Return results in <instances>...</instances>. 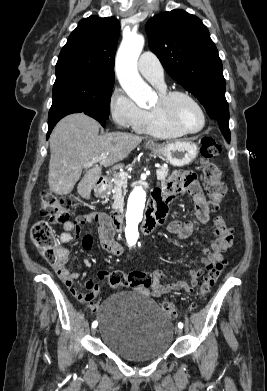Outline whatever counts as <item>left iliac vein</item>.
I'll return each mask as SVG.
<instances>
[{
  "label": "left iliac vein",
  "instance_id": "4c4485c4",
  "mask_svg": "<svg viewBox=\"0 0 267 391\" xmlns=\"http://www.w3.org/2000/svg\"><path fill=\"white\" fill-rule=\"evenodd\" d=\"M176 333H177L178 335H181V334H182V329L179 328V327H177V328H176Z\"/></svg>",
  "mask_w": 267,
  "mask_h": 391
}]
</instances>
